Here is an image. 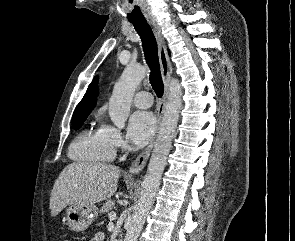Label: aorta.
<instances>
[{"mask_svg":"<svg viewBox=\"0 0 295 241\" xmlns=\"http://www.w3.org/2000/svg\"><path fill=\"white\" fill-rule=\"evenodd\" d=\"M146 74L147 69L144 66L128 65L115 83L109 100V116L117 128L125 127L134 92ZM182 95L179 81L175 78L170 79L168 102L124 241H137L146 216L154 203L176 132L182 108Z\"/></svg>","mask_w":295,"mask_h":241,"instance_id":"762f6f07","label":"aorta"}]
</instances>
